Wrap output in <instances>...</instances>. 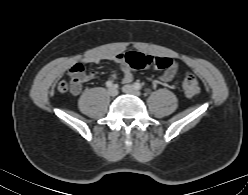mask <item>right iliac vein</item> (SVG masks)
<instances>
[{
  "label": "right iliac vein",
  "instance_id": "63e3f726",
  "mask_svg": "<svg viewBox=\"0 0 248 195\" xmlns=\"http://www.w3.org/2000/svg\"><path fill=\"white\" fill-rule=\"evenodd\" d=\"M108 94L112 97L116 96L118 94V91L115 87H110L108 89Z\"/></svg>",
  "mask_w": 248,
  "mask_h": 195
}]
</instances>
